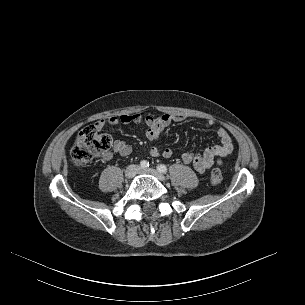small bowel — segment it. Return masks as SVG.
Returning a JSON list of instances; mask_svg holds the SVG:
<instances>
[{"instance_id":"c3829d8e","label":"small bowel","mask_w":305,"mask_h":305,"mask_svg":"<svg viewBox=\"0 0 305 305\" xmlns=\"http://www.w3.org/2000/svg\"><path fill=\"white\" fill-rule=\"evenodd\" d=\"M185 120L183 115L164 113L159 116L146 115L143 116L140 113L123 114L120 117H107L101 119L95 123L98 129H102L106 125L122 124H144L146 127V136L151 142H159L164 138L165 130L173 123L181 122ZM215 126V122L211 119L205 121V127L212 129ZM216 135L218 136L220 143L207 147L202 152L187 151L182 155V161L185 164L192 165L194 169L199 173H204L215 165L221 164V158L226 157L233 151V142L230 134L224 127L216 128ZM113 152L127 157L132 153V147L123 140H115L113 142ZM149 153L153 157L163 156L164 158H171L174 155V151L171 148H165L160 150L156 146H151ZM113 153L106 151L102 153L101 158L104 161H108L112 158Z\"/></svg>"}]
</instances>
